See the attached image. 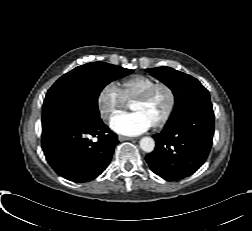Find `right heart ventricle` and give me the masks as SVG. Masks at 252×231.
<instances>
[{"label":"right heart ventricle","instance_id":"e07e8e85","mask_svg":"<svg viewBox=\"0 0 252 231\" xmlns=\"http://www.w3.org/2000/svg\"><path fill=\"white\" fill-rule=\"evenodd\" d=\"M157 81L146 75H134L121 81L120 93L125 101H130L141 95Z\"/></svg>","mask_w":252,"mask_h":231}]
</instances>
